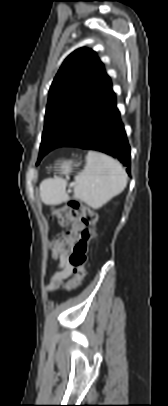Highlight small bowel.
Returning <instances> with one entry per match:
<instances>
[{
  "label": "small bowel",
  "instance_id": "obj_1",
  "mask_svg": "<svg viewBox=\"0 0 168 406\" xmlns=\"http://www.w3.org/2000/svg\"><path fill=\"white\" fill-rule=\"evenodd\" d=\"M73 276V267L69 263L68 254H61L60 263L57 271L53 275L48 288L50 290L57 289L64 280Z\"/></svg>",
  "mask_w": 168,
  "mask_h": 406
}]
</instances>
